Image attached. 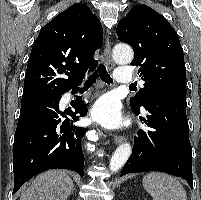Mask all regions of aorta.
Returning a JSON list of instances; mask_svg holds the SVG:
<instances>
[{
    "label": "aorta",
    "mask_w": 201,
    "mask_h": 200,
    "mask_svg": "<svg viewBox=\"0 0 201 200\" xmlns=\"http://www.w3.org/2000/svg\"><path fill=\"white\" fill-rule=\"evenodd\" d=\"M133 57V50L128 45L118 44L113 49V58L120 64L130 63ZM131 150L129 143H123L115 150L109 164L112 172H117L126 163L131 155Z\"/></svg>",
    "instance_id": "1"
}]
</instances>
